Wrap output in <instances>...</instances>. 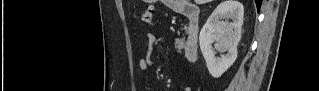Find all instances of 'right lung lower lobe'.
<instances>
[{
    "instance_id": "1",
    "label": "right lung lower lobe",
    "mask_w": 319,
    "mask_h": 91,
    "mask_svg": "<svg viewBox=\"0 0 319 91\" xmlns=\"http://www.w3.org/2000/svg\"><path fill=\"white\" fill-rule=\"evenodd\" d=\"M258 11L260 10L262 0H255Z\"/></svg>"
}]
</instances>
